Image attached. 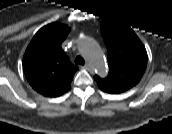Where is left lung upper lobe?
I'll list each match as a JSON object with an SVG mask.
<instances>
[{"mask_svg":"<svg viewBox=\"0 0 172 134\" xmlns=\"http://www.w3.org/2000/svg\"><path fill=\"white\" fill-rule=\"evenodd\" d=\"M108 50L109 73L106 78L95 75L99 88L119 94L134 87L147 66V53L140 40L129 30L114 25H101Z\"/></svg>","mask_w":172,"mask_h":134,"instance_id":"obj_1","label":"left lung upper lobe"}]
</instances>
